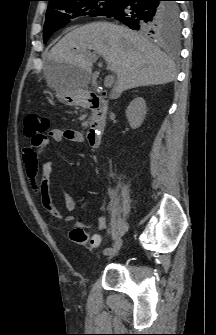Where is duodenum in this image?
<instances>
[{"label":"duodenum","instance_id":"410a0bca","mask_svg":"<svg viewBox=\"0 0 216 335\" xmlns=\"http://www.w3.org/2000/svg\"><path fill=\"white\" fill-rule=\"evenodd\" d=\"M85 106L92 111L87 130V139L92 147H98L105 128L107 106L105 99L98 94H90L85 99Z\"/></svg>","mask_w":216,"mask_h":335}]
</instances>
